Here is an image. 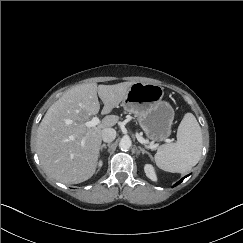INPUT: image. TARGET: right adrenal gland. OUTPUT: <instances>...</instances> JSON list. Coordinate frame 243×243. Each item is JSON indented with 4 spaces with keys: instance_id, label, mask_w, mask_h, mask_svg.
I'll use <instances>...</instances> for the list:
<instances>
[{
    "instance_id": "right-adrenal-gland-1",
    "label": "right adrenal gland",
    "mask_w": 243,
    "mask_h": 243,
    "mask_svg": "<svg viewBox=\"0 0 243 243\" xmlns=\"http://www.w3.org/2000/svg\"><path fill=\"white\" fill-rule=\"evenodd\" d=\"M107 146H110V144H107V145L106 144H102L100 146V152H102L104 148H107Z\"/></svg>"
}]
</instances>
